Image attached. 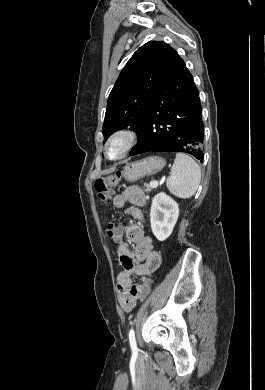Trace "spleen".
<instances>
[{
  "label": "spleen",
  "instance_id": "3e777b00",
  "mask_svg": "<svg viewBox=\"0 0 265 390\" xmlns=\"http://www.w3.org/2000/svg\"><path fill=\"white\" fill-rule=\"evenodd\" d=\"M200 179L199 165L186 154H176L170 177L166 182L168 190L179 198H190L195 194Z\"/></svg>",
  "mask_w": 265,
  "mask_h": 390
}]
</instances>
